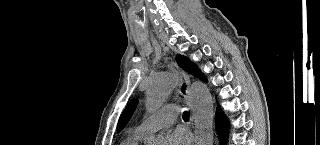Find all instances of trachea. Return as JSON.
Segmentation results:
<instances>
[{
    "mask_svg": "<svg viewBox=\"0 0 320 145\" xmlns=\"http://www.w3.org/2000/svg\"><path fill=\"white\" fill-rule=\"evenodd\" d=\"M183 119L184 120H188L189 119V112L188 111H184L183 112Z\"/></svg>",
    "mask_w": 320,
    "mask_h": 145,
    "instance_id": "1",
    "label": "trachea"
}]
</instances>
